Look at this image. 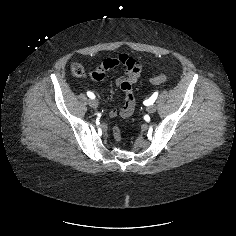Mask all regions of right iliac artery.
<instances>
[{
  "label": "right iliac artery",
  "mask_w": 236,
  "mask_h": 236,
  "mask_svg": "<svg viewBox=\"0 0 236 236\" xmlns=\"http://www.w3.org/2000/svg\"><path fill=\"white\" fill-rule=\"evenodd\" d=\"M87 96H88L89 98H91V99H94V98H95V95H94L92 92H90V91L87 92Z\"/></svg>",
  "instance_id": "obj_1"
}]
</instances>
